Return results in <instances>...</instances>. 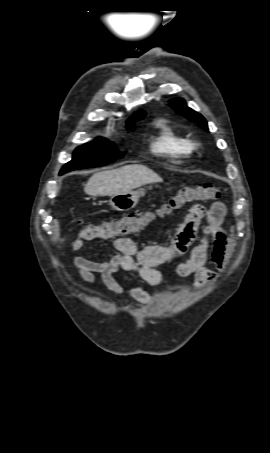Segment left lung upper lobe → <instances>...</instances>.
Returning <instances> with one entry per match:
<instances>
[{
  "label": "left lung upper lobe",
  "instance_id": "left-lung-upper-lobe-1",
  "mask_svg": "<svg viewBox=\"0 0 270 453\" xmlns=\"http://www.w3.org/2000/svg\"><path fill=\"white\" fill-rule=\"evenodd\" d=\"M171 107L180 115L186 117L187 119L193 120L198 124L202 125L205 129L208 130L207 122L202 115L195 112L191 108L187 107L185 101L181 98H177L171 100L170 102Z\"/></svg>",
  "mask_w": 270,
  "mask_h": 453
}]
</instances>
